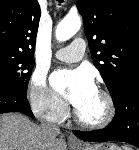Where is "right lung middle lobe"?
<instances>
[{"label":"right lung middle lobe","instance_id":"right-lung-middle-lobe-1","mask_svg":"<svg viewBox=\"0 0 139 150\" xmlns=\"http://www.w3.org/2000/svg\"><path fill=\"white\" fill-rule=\"evenodd\" d=\"M34 56L0 50V87L27 92Z\"/></svg>","mask_w":139,"mask_h":150}]
</instances>
